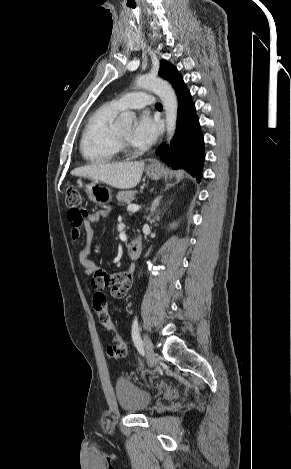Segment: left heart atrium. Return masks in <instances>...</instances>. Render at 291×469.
I'll list each match as a JSON object with an SVG mask.
<instances>
[{"label": "left heart atrium", "mask_w": 291, "mask_h": 469, "mask_svg": "<svg viewBox=\"0 0 291 469\" xmlns=\"http://www.w3.org/2000/svg\"><path fill=\"white\" fill-rule=\"evenodd\" d=\"M159 133V127L148 113H143L137 120L130 134V141L137 147L146 148L154 143Z\"/></svg>", "instance_id": "1"}]
</instances>
